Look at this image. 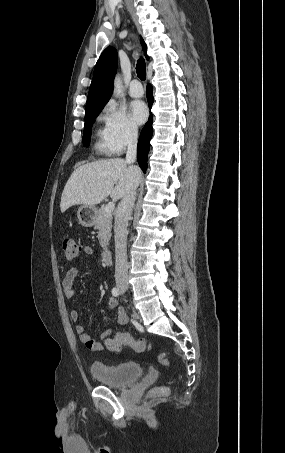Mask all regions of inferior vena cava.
I'll return each mask as SVG.
<instances>
[{
  "instance_id": "602c4592",
  "label": "inferior vena cava",
  "mask_w": 285,
  "mask_h": 453,
  "mask_svg": "<svg viewBox=\"0 0 285 453\" xmlns=\"http://www.w3.org/2000/svg\"><path fill=\"white\" fill-rule=\"evenodd\" d=\"M137 134L136 128L131 129L127 139L126 162L133 164L137 155ZM139 181L136 180L129 192L120 202L115 215L114 239H115V280L116 283H127L128 264H127V226L132 214L134 201L136 199V188Z\"/></svg>"
}]
</instances>
